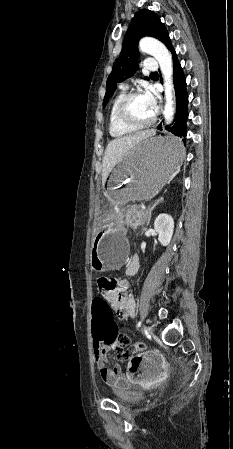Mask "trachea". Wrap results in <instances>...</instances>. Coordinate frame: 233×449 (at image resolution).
Wrapping results in <instances>:
<instances>
[{"mask_svg": "<svg viewBox=\"0 0 233 449\" xmlns=\"http://www.w3.org/2000/svg\"><path fill=\"white\" fill-rule=\"evenodd\" d=\"M158 73L157 72H153V73H151V75H157Z\"/></svg>", "mask_w": 233, "mask_h": 449, "instance_id": "1", "label": "trachea"}]
</instances>
